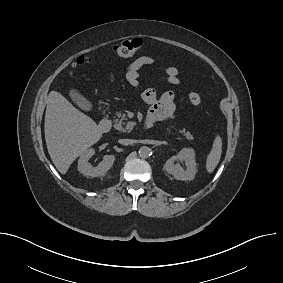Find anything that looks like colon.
Listing matches in <instances>:
<instances>
[{
	"label": "colon",
	"instance_id": "obj_1",
	"mask_svg": "<svg viewBox=\"0 0 283 283\" xmlns=\"http://www.w3.org/2000/svg\"><path fill=\"white\" fill-rule=\"evenodd\" d=\"M141 39H129L120 42L113 48V54L118 58H128L137 54L142 48ZM90 62V58L86 55H81L76 60V65L82 66ZM190 102L194 105H200L203 101L200 94L191 91L188 95Z\"/></svg>",
	"mask_w": 283,
	"mask_h": 283
}]
</instances>
